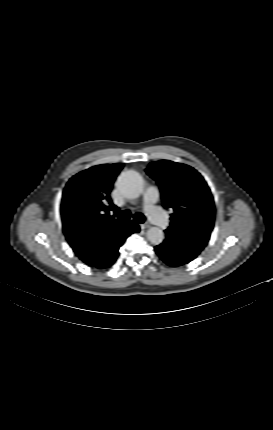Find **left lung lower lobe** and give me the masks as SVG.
<instances>
[{"label":"left lung lower lobe","mask_w":273,"mask_h":430,"mask_svg":"<svg viewBox=\"0 0 273 430\" xmlns=\"http://www.w3.org/2000/svg\"><path fill=\"white\" fill-rule=\"evenodd\" d=\"M155 251L167 265L172 267L187 264L194 259L182 255L175 247L172 237L167 234L164 242L155 247Z\"/></svg>","instance_id":"obj_1"}]
</instances>
